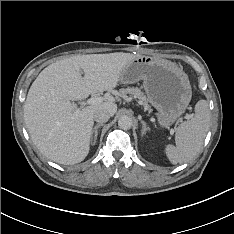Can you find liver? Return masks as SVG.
Returning a JSON list of instances; mask_svg holds the SVG:
<instances>
[{"label":"liver","mask_w":234,"mask_h":234,"mask_svg":"<svg viewBox=\"0 0 234 234\" xmlns=\"http://www.w3.org/2000/svg\"><path fill=\"white\" fill-rule=\"evenodd\" d=\"M138 56L123 52L77 55L52 63L38 75L27 94L24 120L31 140L46 158L65 165L86 158L94 112L105 109L112 116L117 104L110 94L103 102L82 109L71 101L114 89L122 69Z\"/></svg>","instance_id":"6515ba94"}]
</instances>
